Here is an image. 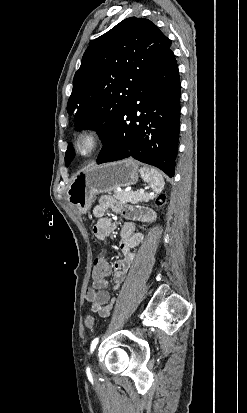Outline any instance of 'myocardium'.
<instances>
[{
  "label": "myocardium",
  "instance_id": "myocardium-1",
  "mask_svg": "<svg viewBox=\"0 0 247 413\" xmlns=\"http://www.w3.org/2000/svg\"><path fill=\"white\" fill-rule=\"evenodd\" d=\"M85 141H90V147L85 150L83 144ZM105 141L104 133L95 128H88L83 130L77 137L76 146L78 152L85 157L94 155Z\"/></svg>",
  "mask_w": 247,
  "mask_h": 413
}]
</instances>
